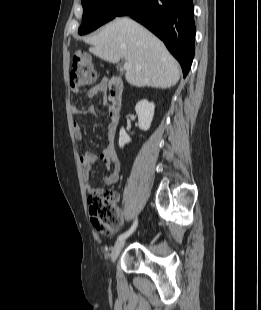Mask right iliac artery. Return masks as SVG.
Wrapping results in <instances>:
<instances>
[{"mask_svg": "<svg viewBox=\"0 0 261 310\" xmlns=\"http://www.w3.org/2000/svg\"><path fill=\"white\" fill-rule=\"evenodd\" d=\"M136 227H137V219H135L133 225L131 226V228L128 231H126V232H124L118 236V240L125 239L126 237L131 235L134 232V230L136 229Z\"/></svg>", "mask_w": 261, "mask_h": 310, "instance_id": "1", "label": "right iliac artery"}]
</instances>
